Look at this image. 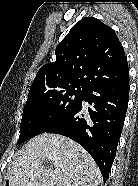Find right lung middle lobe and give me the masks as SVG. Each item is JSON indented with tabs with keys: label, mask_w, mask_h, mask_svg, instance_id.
Wrapping results in <instances>:
<instances>
[{
	"label": "right lung middle lobe",
	"mask_w": 138,
	"mask_h": 186,
	"mask_svg": "<svg viewBox=\"0 0 138 186\" xmlns=\"http://www.w3.org/2000/svg\"><path fill=\"white\" fill-rule=\"evenodd\" d=\"M86 87L69 85L28 94L20 124L18 144L46 132L83 100Z\"/></svg>",
	"instance_id": "right-lung-middle-lobe-1"
}]
</instances>
